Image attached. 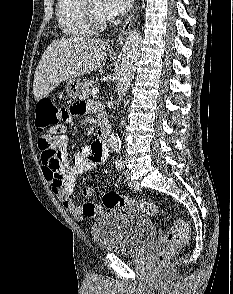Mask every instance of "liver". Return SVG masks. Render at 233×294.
<instances>
[{
    "label": "liver",
    "instance_id": "6515ba94",
    "mask_svg": "<svg viewBox=\"0 0 233 294\" xmlns=\"http://www.w3.org/2000/svg\"><path fill=\"white\" fill-rule=\"evenodd\" d=\"M105 52L106 43L99 39L70 37L53 41L34 74V99L47 97L62 81L100 68L105 63Z\"/></svg>",
    "mask_w": 233,
    "mask_h": 294
}]
</instances>
